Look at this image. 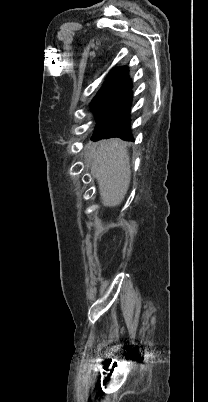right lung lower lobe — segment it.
I'll return each mask as SVG.
<instances>
[{
    "mask_svg": "<svg viewBox=\"0 0 208 402\" xmlns=\"http://www.w3.org/2000/svg\"><path fill=\"white\" fill-rule=\"evenodd\" d=\"M113 90H117L121 94L123 107L121 114L116 121L112 123L109 120L97 119V125L92 139L94 141L111 137H119L123 140H133V136L129 131L130 120L129 111L131 106V82L128 76V69L123 71L111 84Z\"/></svg>",
    "mask_w": 208,
    "mask_h": 402,
    "instance_id": "1",
    "label": "right lung lower lobe"
}]
</instances>
